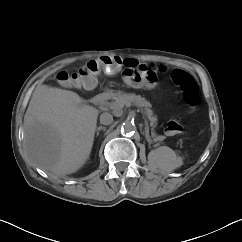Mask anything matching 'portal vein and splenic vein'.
<instances>
[{"mask_svg": "<svg viewBox=\"0 0 242 242\" xmlns=\"http://www.w3.org/2000/svg\"><path fill=\"white\" fill-rule=\"evenodd\" d=\"M111 108H112V109H116V108H118V105H116V104H112V105H111ZM145 123L147 124V121H146V120H145Z\"/></svg>", "mask_w": 242, "mask_h": 242, "instance_id": "portal-vein-and-splenic-vein-1", "label": "portal vein and splenic vein"}]
</instances>
